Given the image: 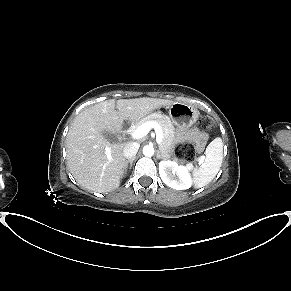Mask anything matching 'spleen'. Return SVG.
Wrapping results in <instances>:
<instances>
[{
	"mask_svg": "<svg viewBox=\"0 0 291 291\" xmlns=\"http://www.w3.org/2000/svg\"><path fill=\"white\" fill-rule=\"evenodd\" d=\"M223 159V143L220 137L215 138L207 146L203 162L193 172L196 188L210 183L220 170Z\"/></svg>",
	"mask_w": 291,
	"mask_h": 291,
	"instance_id": "spleen-1",
	"label": "spleen"
}]
</instances>
